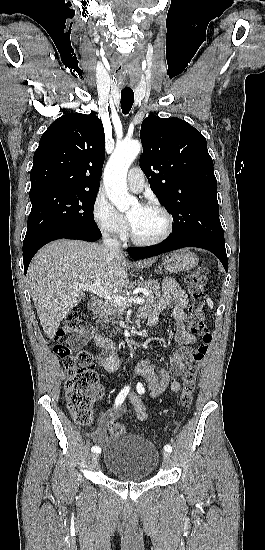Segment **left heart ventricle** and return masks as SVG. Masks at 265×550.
Masks as SVG:
<instances>
[{"mask_svg": "<svg viewBox=\"0 0 265 550\" xmlns=\"http://www.w3.org/2000/svg\"><path fill=\"white\" fill-rule=\"evenodd\" d=\"M127 217L135 235L141 239H153L160 236L166 228V219L154 209L144 208L137 204Z\"/></svg>", "mask_w": 265, "mask_h": 550, "instance_id": "obj_1", "label": "left heart ventricle"}]
</instances>
